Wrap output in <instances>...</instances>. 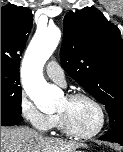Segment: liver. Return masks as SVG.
I'll list each match as a JSON object with an SVG mask.
<instances>
[{
    "instance_id": "liver-1",
    "label": "liver",
    "mask_w": 123,
    "mask_h": 152,
    "mask_svg": "<svg viewBox=\"0 0 123 152\" xmlns=\"http://www.w3.org/2000/svg\"><path fill=\"white\" fill-rule=\"evenodd\" d=\"M82 144L46 137L28 127H1V152H73Z\"/></svg>"
}]
</instances>
